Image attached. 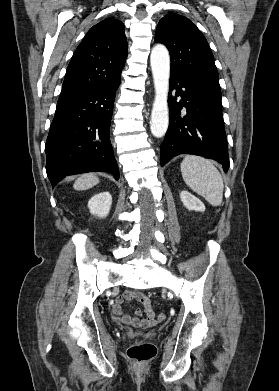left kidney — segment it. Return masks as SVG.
Returning a JSON list of instances; mask_svg holds the SVG:
<instances>
[{
  "mask_svg": "<svg viewBox=\"0 0 279 391\" xmlns=\"http://www.w3.org/2000/svg\"><path fill=\"white\" fill-rule=\"evenodd\" d=\"M180 198L183 203V205L188 209V210H194L198 212H203L205 211V205L203 202L192 195L188 191H182L180 193Z\"/></svg>",
  "mask_w": 279,
  "mask_h": 391,
  "instance_id": "left-kidney-1",
  "label": "left kidney"
}]
</instances>
